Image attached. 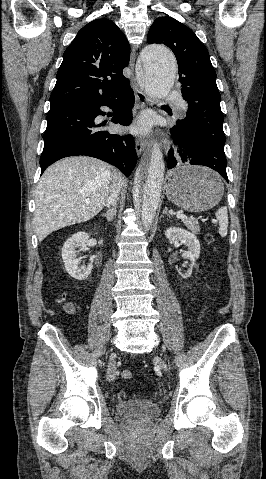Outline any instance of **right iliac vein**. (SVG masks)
Returning a JSON list of instances; mask_svg holds the SVG:
<instances>
[{
    "instance_id": "right-iliac-vein-1",
    "label": "right iliac vein",
    "mask_w": 266,
    "mask_h": 479,
    "mask_svg": "<svg viewBox=\"0 0 266 479\" xmlns=\"http://www.w3.org/2000/svg\"><path fill=\"white\" fill-rule=\"evenodd\" d=\"M112 361H113V355L111 356V363H112Z\"/></svg>"
}]
</instances>
